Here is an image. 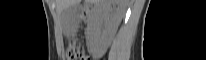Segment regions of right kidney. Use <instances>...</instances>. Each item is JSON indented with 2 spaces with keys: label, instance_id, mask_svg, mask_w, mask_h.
I'll use <instances>...</instances> for the list:
<instances>
[{
  "label": "right kidney",
  "instance_id": "right-kidney-1",
  "mask_svg": "<svg viewBox=\"0 0 206 60\" xmlns=\"http://www.w3.org/2000/svg\"><path fill=\"white\" fill-rule=\"evenodd\" d=\"M123 13L120 0H103L96 4L89 31V43L93 48L105 50L110 45Z\"/></svg>",
  "mask_w": 206,
  "mask_h": 60
}]
</instances>
